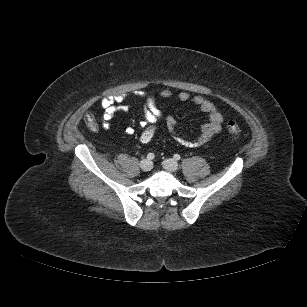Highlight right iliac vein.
I'll return each mask as SVG.
<instances>
[{
    "label": "right iliac vein",
    "mask_w": 307,
    "mask_h": 307,
    "mask_svg": "<svg viewBox=\"0 0 307 307\" xmlns=\"http://www.w3.org/2000/svg\"><path fill=\"white\" fill-rule=\"evenodd\" d=\"M153 167V164L150 160L148 159H143L141 162H140V168L147 172V171H150Z\"/></svg>",
    "instance_id": "1"
}]
</instances>
